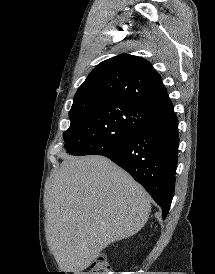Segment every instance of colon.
I'll list each match as a JSON object with an SVG mask.
<instances>
[{
	"label": "colon",
	"instance_id": "colon-1",
	"mask_svg": "<svg viewBox=\"0 0 215 274\" xmlns=\"http://www.w3.org/2000/svg\"><path fill=\"white\" fill-rule=\"evenodd\" d=\"M110 270L109 262L105 255H99L91 264L88 272L84 274H108Z\"/></svg>",
	"mask_w": 215,
	"mask_h": 274
}]
</instances>
